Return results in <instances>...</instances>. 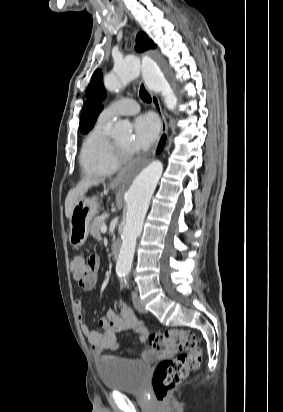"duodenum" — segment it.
<instances>
[{
  "instance_id": "410a0bca",
  "label": "duodenum",
  "mask_w": 283,
  "mask_h": 412,
  "mask_svg": "<svg viewBox=\"0 0 283 412\" xmlns=\"http://www.w3.org/2000/svg\"><path fill=\"white\" fill-rule=\"evenodd\" d=\"M120 251H121V245H120V243L115 242V243L112 245V250H111V252H112V257H113L114 259H118L119 256H120Z\"/></svg>"
}]
</instances>
